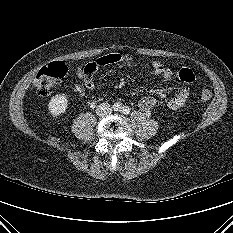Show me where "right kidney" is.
Segmentation results:
<instances>
[{
  "label": "right kidney",
  "instance_id": "obj_1",
  "mask_svg": "<svg viewBox=\"0 0 233 233\" xmlns=\"http://www.w3.org/2000/svg\"><path fill=\"white\" fill-rule=\"evenodd\" d=\"M68 107V98L64 94L53 96L48 104V109L53 117H58L65 113Z\"/></svg>",
  "mask_w": 233,
  "mask_h": 233
}]
</instances>
